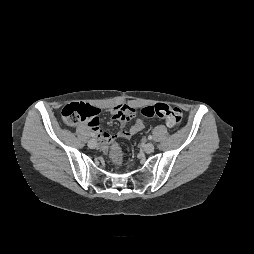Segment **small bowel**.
Wrapping results in <instances>:
<instances>
[{"label":"small bowel","mask_w":254,"mask_h":254,"mask_svg":"<svg viewBox=\"0 0 254 254\" xmlns=\"http://www.w3.org/2000/svg\"><path fill=\"white\" fill-rule=\"evenodd\" d=\"M111 112L114 118L119 122L120 129L116 134L103 131L100 128L99 118L97 117L89 126L93 129L95 136L101 141L103 147L111 146L117 139H130L135 134L145 129L144 121L137 117V111L132 106H129L123 102H118L112 107ZM135 119L134 124L129 130L125 129V125L130 120Z\"/></svg>","instance_id":"obj_1"}]
</instances>
